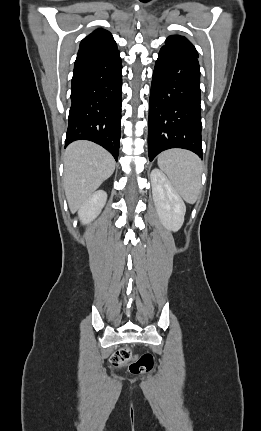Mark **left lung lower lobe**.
I'll use <instances>...</instances> for the list:
<instances>
[{
  "instance_id": "0a47b994",
  "label": "left lung lower lobe",
  "mask_w": 261,
  "mask_h": 431,
  "mask_svg": "<svg viewBox=\"0 0 261 431\" xmlns=\"http://www.w3.org/2000/svg\"><path fill=\"white\" fill-rule=\"evenodd\" d=\"M183 148L202 158L200 67L197 56L163 46L155 64L149 103L148 155Z\"/></svg>"
}]
</instances>
